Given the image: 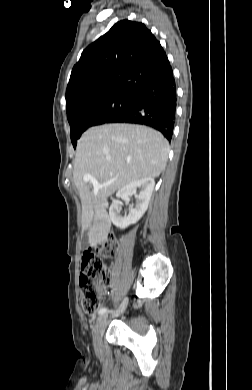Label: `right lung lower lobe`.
Returning a JSON list of instances; mask_svg holds the SVG:
<instances>
[{"instance_id": "1", "label": "right lung lower lobe", "mask_w": 252, "mask_h": 390, "mask_svg": "<svg viewBox=\"0 0 252 390\" xmlns=\"http://www.w3.org/2000/svg\"><path fill=\"white\" fill-rule=\"evenodd\" d=\"M176 84L173 73L141 87L132 105L106 123H134L159 130L169 141L176 115Z\"/></svg>"}]
</instances>
